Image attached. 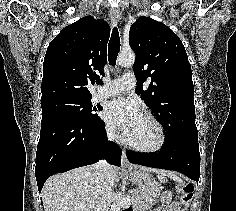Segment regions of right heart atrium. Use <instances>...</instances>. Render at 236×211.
<instances>
[{"instance_id": "right-heart-atrium-1", "label": "right heart atrium", "mask_w": 236, "mask_h": 211, "mask_svg": "<svg viewBox=\"0 0 236 211\" xmlns=\"http://www.w3.org/2000/svg\"><path fill=\"white\" fill-rule=\"evenodd\" d=\"M105 133H106L107 137L112 140L118 139V135H117L114 127L109 123L105 124Z\"/></svg>"}]
</instances>
